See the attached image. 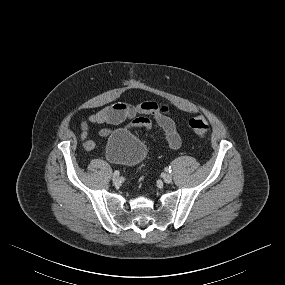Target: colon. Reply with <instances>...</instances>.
I'll list each match as a JSON object with an SVG mask.
<instances>
[{
	"label": "colon",
	"instance_id": "5ec220e1",
	"mask_svg": "<svg viewBox=\"0 0 285 285\" xmlns=\"http://www.w3.org/2000/svg\"><path fill=\"white\" fill-rule=\"evenodd\" d=\"M189 126L196 136L203 138L208 131V122L203 116H197L189 121Z\"/></svg>",
	"mask_w": 285,
	"mask_h": 285
}]
</instances>
